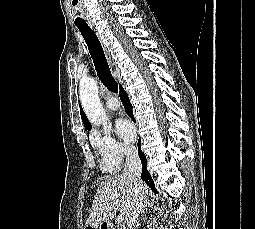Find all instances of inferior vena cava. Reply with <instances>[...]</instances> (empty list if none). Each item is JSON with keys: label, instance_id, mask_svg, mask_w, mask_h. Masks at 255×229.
Returning <instances> with one entry per match:
<instances>
[{"label": "inferior vena cava", "instance_id": "obj_1", "mask_svg": "<svg viewBox=\"0 0 255 229\" xmlns=\"http://www.w3.org/2000/svg\"><path fill=\"white\" fill-rule=\"evenodd\" d=\"M126 164L123 170V176L127 178L134 186L133 202L131 204L130 216L127 221L129 229H133L137 223L138 216L145 201V195L140 186V175L142 172V164L138 155V151L133 146L125 147Z\"/></svg>", "mask_w": 255, "mask_h": 229}]
</instances>
